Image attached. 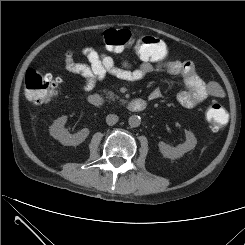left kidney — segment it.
<instances>
[{"instance_id": "5707ae66", "label": "left kidney", "mask_w": 245, "mask_h": 245, "mask_svg": "<svg viewBox=\"0 0 245 245\" xmlns=\"http://www.w3.org/2000/svg\"><path fill=\"white\" fill-rule=\"evenodd\" d=\"M186 141L183 144L178 145L177 147H171L170 145L159 142L158 146L160 152L164 157L170 159H177L182 157L185 153L194 149L197 144V139L191 131L185 130Z\"/></svg>"}]
</instances>
